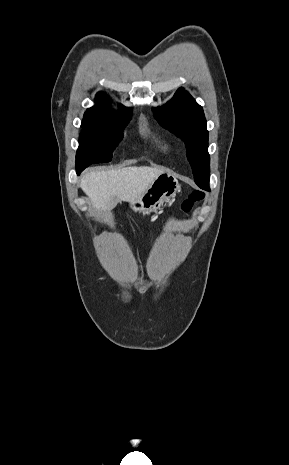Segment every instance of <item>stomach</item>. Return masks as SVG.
Segmentation results:
<instances>
[{"instance_id": "obj_1", "label": "stomach", "mask_w": 289, "mask_h": 465, "mask_svg": "<svg viewBox=\"0 0 289 465\" xmlns=\"http://www.w3.org/2000/svg\"><path fill=\"white\" fill-rule=\"evenodd\" d=\"M180 188L174 176L161 173L140 197L129 202V206L135 212L144 214L156 212L164 203L174 198Z\"/></svg>"}]
</instances>
